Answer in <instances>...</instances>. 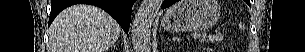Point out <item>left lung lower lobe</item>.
Here are the masks:
<instances>
[{"instance_id": "left-lung-lower-lobe-1", "label": "left lung lower lobe", "mask_w": 305, "mask_h": 52, "mask_svg": "<svg viewBox=\"0 0 305 52\" xmlns=\"http://www.w3.org/2000/svg\"><path fill=\"white\" fill-rule=\"evenodd\" d=\"M177 0H164L163 4H162V8H167L169 6H171L172 4H174Z\"/></svg>"}]
</instances>
